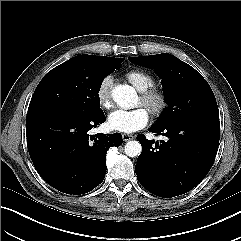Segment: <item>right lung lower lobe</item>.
<instances>
[{
	"mask_svg": "<svg viewBox=\"0 0 241 241\" xmlns=\"http://www.w3.org/2000/svg\"><path fill=\"white\" fill-rule=\"evenodd\" d=\"M102 112L80 116L63 111L27 115V143L31 160L40 176L66 194L87 193L102 183L106 152L122 144V135L89 130L105 122Z\"/></svg>",
	"mask_w": 241,
	"mask_h": 241,
	"instance_id": "obj_1",
	"label": "right lung lower lobe"
}]
</instances>
